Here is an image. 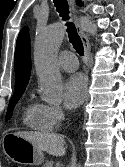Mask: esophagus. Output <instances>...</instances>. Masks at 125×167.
Here are the masks:
<instances>
[{
  "label": "esophagus",
  "instance_id": "34e87169",
  "mask_svg": "<svg viewBox=\"0 0 125 167\" xmlns=\"http://www.w3.org/2000/svg\"><path fill=\"white\" fill-rule=\"evenodd\" d=\"M70 4L72 6L73 12L76 14L75 1L70 0ZM76 28H77V32H78V34L81 38V41L83 43L85 59H86L85 72H86V75H88V73H89V62H90V56H91V46H90V42L88 40L87 35L84 33L83 29L81 28V25L79 23V20H78L77 16H76Z\"/></svg>",
  "mask_w": 125,
  "mask_h": 167
}]
</instances>
